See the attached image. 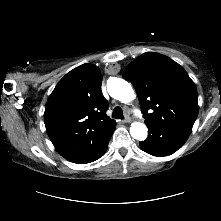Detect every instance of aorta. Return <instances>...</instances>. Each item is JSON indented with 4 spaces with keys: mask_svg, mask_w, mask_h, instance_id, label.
<instances>
[{
    "mask_svg": "<svg viewBox=\"0 0 221 221\" xmlns=\"http://www.w3.org/2000/svg\"><path fill=\"white\" fill-rule=\"evenodd\" d=\"M110 96L122 103H129L135 98V94L131 85L120 78H113L107 85ZM147 127L144 123L134 122L130 127V134L132 138L144 141L147 138Z\"/></svg>",
    "mask_w": 221,
    "mask_h": 221,
    "instance_id": "obj_1",
    "label": "aorta"
}]
</instances>
